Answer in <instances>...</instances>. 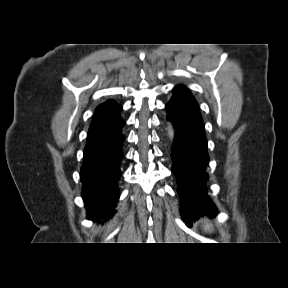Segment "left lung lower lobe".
I'll list each match as a JSON object with an SVG mask.
<instances>
[{
	"label": "left lung lower lobe",
	"instance_id": "obj_1",
	"mask_svg": "<svg viewBox=\"0 0 288 288\" xmlns=\"http://www.w3.org/2000/svg\"><path fill=\"white\" fill-rule=\"evenodd\" d=\"M165 108L176 130L171 158L181 215L191 227L193 220L218 213L206 189L209 156L204 123L199 105L187 88L173 89V96Z\"/></svg>",
	"mask_w": 288,
	"mask_h": 288
}]
</instances>
